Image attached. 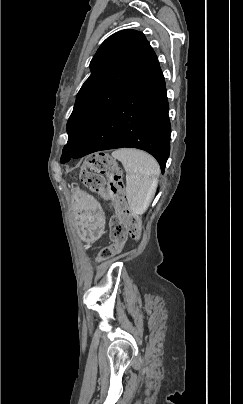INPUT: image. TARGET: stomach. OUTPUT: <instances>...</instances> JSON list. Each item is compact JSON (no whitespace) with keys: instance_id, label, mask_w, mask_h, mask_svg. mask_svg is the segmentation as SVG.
Returning <instances> with one entry per match:
<instances>
[{"instance_id":"1","label":"stomach","mask_w":243,"mask_h":404,"mask_svg":"<svg viewBox=\"0 0 243 404\" xmlns=\"http://www.w3.org/2000/svg\"><path fill=\"white\" fill-rule=\"evenodd\" d=\"M74 214L81 238L92 242L99 238L105 228V217L99 203L89 194L73 189Z\"/></svg>"}]
</instances>
